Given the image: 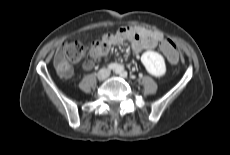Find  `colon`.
Wrapping results in <instances>:
<instances>
[{"label":"colon","instance_id":"obj_1","mask_svg":"<svg viewBox=\"0 0 230 155\" xmlns=\"http://www.w3.org/2000/svg\"><path fill=\"white\" fill-rule=\"evenodd\" d=\"M157 47L164 56H167L171 64L175 65L179 62V53L171 39L159 40ZM107 49L108 46L103 41L94 42L90 46H86L77 41L64 43L62 47L56 51L53 64L61 77L69 78L72 74L70 62L86 61L88 55L99 59L107 52Z\"/></svg>","mask_w":230,"mask_h":155}]
</instances>
